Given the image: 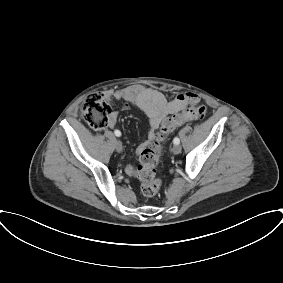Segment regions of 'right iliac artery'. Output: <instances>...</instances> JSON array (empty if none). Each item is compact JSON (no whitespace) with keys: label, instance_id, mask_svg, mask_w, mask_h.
<instances>
[{"label":"right iliac artery","instance_id":"obj_1","mask_svg":"<svg viewBox=\"0 0 283 283\" xmlns=\"http://www.w3.org/2000/svg\"><path fill=\"white\" fill-rule=\"evenodd\" d=\"M114 134L117 136V137H120L121 136V132L119 130H115L114 131Z\"/></svg>","mask_w":283,"mask_h":283}]
</instances>
